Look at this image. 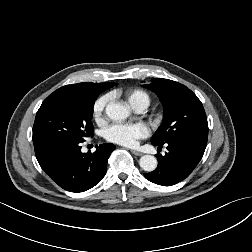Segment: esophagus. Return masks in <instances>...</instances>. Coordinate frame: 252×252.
<instances>
[{"label": "esophagus", "mask_w": 252, "mask_h": 252, "mask_svg": "<svg viewBox=\"0 0 252 252\" xmlns=\"http://www.w3.org/2000/svg\"><path fill=\"white\" fill-rule=\"evenodd\" d=\"M132 154L136 155V156H142V153L137 151V150H131Z\"/></svg>", "instance_id": "1"}]
</instances>
